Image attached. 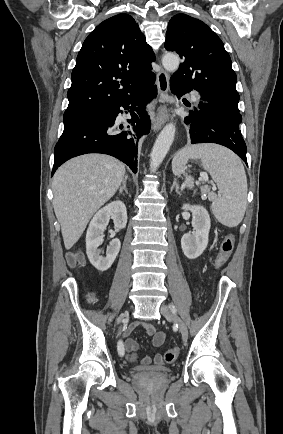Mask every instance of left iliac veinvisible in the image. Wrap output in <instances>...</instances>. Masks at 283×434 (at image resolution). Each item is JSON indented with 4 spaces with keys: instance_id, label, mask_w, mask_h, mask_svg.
<instances>
[{
    "instance_id": "left-iliac-vein-1",
    "label": "left iliac vein",
    "mask_w": 283,
    "mask_h": 434,
    "mask_svg": "<svg viewBox=\"0 0 283 434\" xmlns=\"http://www.w3.org/2000/svg\"><path fill=\"white\" fill-rule=\"evenodd\" d=\"M162 315L168 320L173 321L178 325L183 341L188 339V329L182 319L167 305H162L160 308Z\"/></svg>"
}]
</instances>
